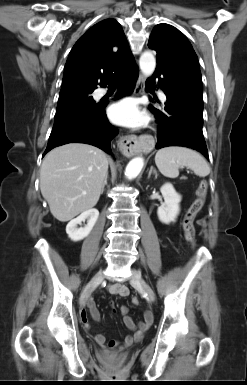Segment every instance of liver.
<instances>
[{"label":"liver","mask_w":247,"mask_h":385,"mask_svg":"<svg viewBox=\"0 0 247 385\" xmlns=\"http://www.w3.org/2000/svg\"><path fill=\"white\" fill-rule=\"evenodd\" d=\"M107 172L108 158L97 147L68 143L51 150L42 162L40 189L52 215L66 222L94 207Z\"/></svg>","instance_id":"1"}]
</instances>
